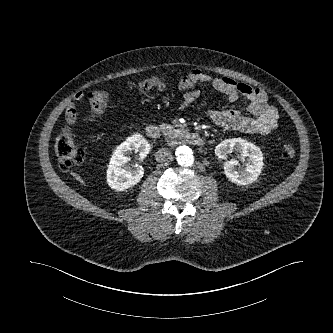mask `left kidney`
I'll list each match as a JSON object with an SVG mask.
<instances>
[{
  "label": "left kidney",
  "instance_id": "left-kidney-1",
  "mask_svg": "<svg viewBox=\"0 0 333 333\" xmlns=\"http://www.w3.org/2000/svg\"><path fill=\"white\" fill-rule=\"evenodd\" d=\"M240 152L241 158H248V162L243 170L238 171L235 166L236 160H228V155L234 148ZM218 158L226 160L224 163V173L233 183L247 185L254 182L260 175L263 167V154L256 145L241 138L226 139L215 148Z\"/></svg>",
  "mask_w": 333,
  "mask_h": 333
}]
</instances>
